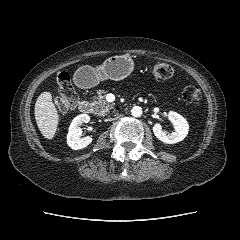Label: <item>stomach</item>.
I'll list each match as a JSON object with an SVG mask.
<instances>
[{
    "mask_svg": "<svg viewBox=\"0 0 240 240\" xmlns=\"http://www.w3.org/2000/svg\"><path fill=\"white\" fill-rule=\"evenodd\" d=\"M133 70L132 60L125 56H112L101 66L93 68L82 66L76 72V77L82 79L87 85H96L101 80H121Z\"/></svg>",
    "mask_w": 240,
    "mask_h": 240,
    "instance_id": "0dacf381",
    "label": "stomach"
}]
</instances>
